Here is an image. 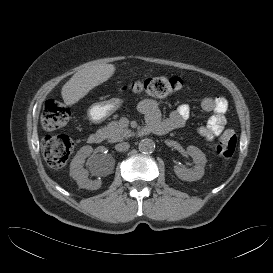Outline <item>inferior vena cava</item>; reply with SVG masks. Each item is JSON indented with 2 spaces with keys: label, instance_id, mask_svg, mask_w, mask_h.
<instances>
[{
  "label": "inferior vena cava",
  "instance_id": "1",
  "mask_svg": "<svg viewBox=\"0 0 273 273\" xmlns=\"http://www.w3.org/2000/svg\"><path fill=\"white\" fill-rule=\"evenodd\" d=\"M130 145L128 142H121L119 144L115 145V149L119 152L127 151L129 149Z\"/></svg>",
  "mask_w": 273,
  "mask_h": 273
}]
</instances>
